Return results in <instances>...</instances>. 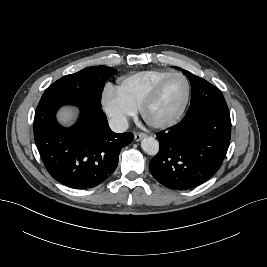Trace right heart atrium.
<instances>
[{
  "mask_svg": "<svg viewBox=\"0 0 267 267\" xmlns=\"http://www.w3.org/2000/svg\"><path fill=\"white\" fill-rule=\"evenodd\" d=\"M101 105L113 125L119 129L125 128L129 119L136 113L110 86L106 87L102 93Z\"/></svg>",
  "mask_w": 267,
  "mask_h": 267,
  "instance_id": "1",
  "label": "right heart atrium"
}]
</instances>
